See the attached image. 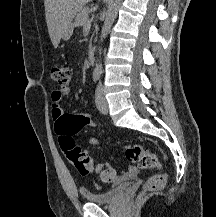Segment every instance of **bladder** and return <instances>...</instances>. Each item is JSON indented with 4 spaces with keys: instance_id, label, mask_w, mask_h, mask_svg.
Here are the masks:
<instances>
[{
    "instance_id": "1",
    "label": "bladder",
    "mask_w": 216,
    "mask_h": 217,
    "mask_svg": "<svg viewBox=\"0 0 216 217\" xmlns=\"http://www.w3.org/2000/svg\"><path fill=\"white\" fill-rule=\"evenodd\" d=\"M128 188V184H121L103 192L82 190L81 195L83 199L89 203L112 204L118 202Z\"/></svg>"
}]
</instances>
